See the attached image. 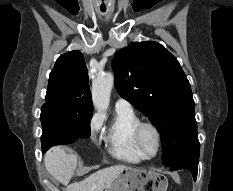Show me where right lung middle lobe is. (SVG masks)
<instances>
[{
    "label": "right lung middle lobe",
    "instance_id": "dd1d6c3e",
    "mask_svg": "<svg viewBox=\"0 0 233 191\" xmlns=\"http://www.w3.org/2000/svg\"><path fill=\"white\" fill-rule=\"evenodd\" d=\"M42 150L69 144L90 136L92 110H73L58 105H43L41 109Z\"/></svg>",
    "mask_w": 233,
    "mask_h": 191
}]
</instances>
